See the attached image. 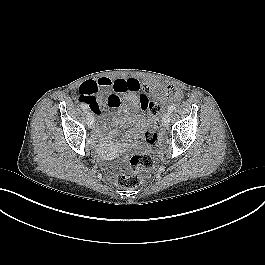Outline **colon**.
<instances>
[{"label": "colon", "mask_w": 265, "mask_h": 265, "mask_svg": "<svg viewBox=\"0 0 265 265\" xmlns=\"http://www.w3.org/2000/svg\"><path fill=\"white\" fill-rule=\"evenodd\" d=\"M175 94L176 91L173 87H167L165 90L158 93L155 100L150 102V108L154 112H157L164 101L175 96ZM111 99H115V97L112 95ZM143 143L148 148L154 149L157 146V135L151 131L145 132ZM154 163V156L149 152L135 154L130 160L129 170L118 176V185L123 188L139 187L146 174L153 168Z\"/></svg>", "instance_id": "colon-1"}]
</instances>
